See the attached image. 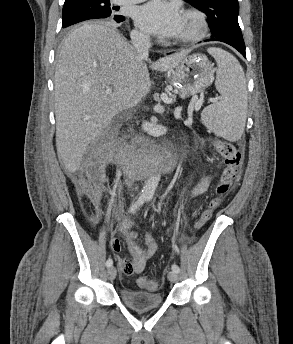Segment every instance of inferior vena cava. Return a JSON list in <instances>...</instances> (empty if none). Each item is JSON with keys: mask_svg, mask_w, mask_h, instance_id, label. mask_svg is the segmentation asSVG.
Masks as SVG:
<instances>
[{"mask_svg": "<svg viewBox=\"0 0 293 344\" xmlns=\"http://www.w3.org/2000/svg\"><path fill=\"white\" fill-rule=\"evenodd\" d=\"M131 39L133 47L137 53L138 58L140 59H147L149 54L150 48V37L148 34L141 33L134 31L131 33ZM123 102L125 105V109L133 108L136 104L133 91L131 88L127 87L123 93ZM132 147H135V143L131 142ZM126 185L131 188L133 185V180L126 179Z\"/></svg>", "mask_w": 293, "mask_h": 344, "instance_id": "1", "label": "inferior vena cava"}]
</instances>
